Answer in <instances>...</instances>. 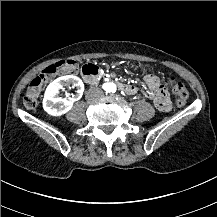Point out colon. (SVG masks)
Listing matches in <instances>:
<instances>
[{
    "mask_svg": "<svg viewBox=\"0 0 217 217\" xmlns=\"http://www.w3.org/2000/svg\"><path fill=\"white\" fill-rule=\"evenodd\" d=\"M79 65L77 61L70 59L65 62L64 66H53L47 69V72L35 77L28 85L23 97V104L27 109H35L38 103V95L42 88L51 87L56 80L66 78L67 74L77 73ZM171 91L176 95V105L183 106L189 98L187 87L179 80L170 78L167 82Z\"/></svg>",
    "mask_w": 217,
    "mask_h": 217,
    "instance_id": "1",
    "label": "colon"
}]
</instances>
